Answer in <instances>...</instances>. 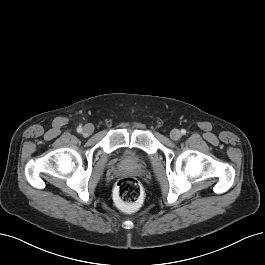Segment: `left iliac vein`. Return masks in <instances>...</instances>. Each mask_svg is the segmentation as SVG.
Listing matches in <instances>:
<instances>
[{
  "instance_id": "1",
  "label": "left iliac vein",
  "mask_w": 265,
  "mask_h": 265,
  "mask_svg": "<svg viewBox=\"0 0 265 265\" xmlns=\"http://www.w3.org/2000/svg\"><path fill=\"white\" fill-rule=\"evenodd\" d=\"M170 137L172 140H179L181 137V132L178 129H173L170 132Z\"/></svg>"
}]
</instances>
